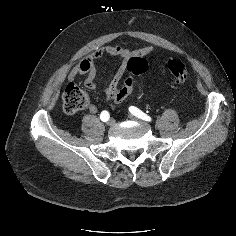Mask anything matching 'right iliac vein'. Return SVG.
Here are the masks:
<instances>
[{
	"mask_svg": "<svg viewBox=\"0 0 236 236\" xmlns=\"http://www.w3.org/2000/svg\"><path fill=\"white\" fill-rule=\"evenodd\" d=\"M107 124H108V126L112 127V126L115 125V120L111 118V119L108 121Z\"/></svg>",
	"mask_w": 236,
	"mask_h": 236,
	"instance_id": "1",
	"label": "right iliac vein"
}]
</instances>
